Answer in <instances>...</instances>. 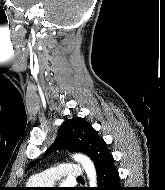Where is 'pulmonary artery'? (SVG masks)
I'll list each match as a JSON object with an SVG mask.
<instances>
[{
  "label": "pulmonary artery",
  "mask_w": 165,
  "mask_h": 190,
  "mask_svg": "<svg viewBox=\"0 0 165 190\" xmlns=\"http://www.w3.org/2000/svg\"><path fill=\"white\" fill-rule=\"evenodd\" d=\"M84 174L83 168L75 163H62L33 176L31 181L36 185H53L61 178L76 179Z\"/></svg>",
  "instance_id": "e3ab8cb5"
}]
</instances>
